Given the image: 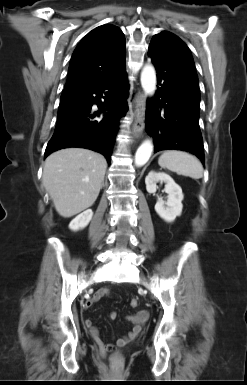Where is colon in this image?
<instances>
[{
	"instance_id": "5ec220e1",
	"label": "colon",
	"mask_w": 247,
	"mask_h": 385,
	"mask_svg": "<svg viewBox=\"0 0 247 385\" xmlns=\"http://www.w3.org/2000/svg\"><path fill=\"white\" fill-rule=\"evenodd\" d=\"M138 304H139V302H138V300H136V299H133V300L131 301V306H132V307H137ZM108 349H111V347L108 348ZM118 362H119L118 357H115V358H114V364L116 365Z\"/></svg>"
}]
</instances>
